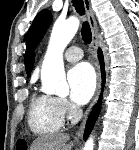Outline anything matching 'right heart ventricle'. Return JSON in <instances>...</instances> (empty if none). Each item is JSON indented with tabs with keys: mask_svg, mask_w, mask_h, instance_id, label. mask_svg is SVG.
<instances>
[{
	"mask_svg": "<svg viewBox=\"0 0 139 150\" xmlns=\"http://www.w3.org/2000/svg\"><path fill=\"white\" fill-rule=\"evenodd\" d=\"M64 122L57 98L40 92H34L28 111V124L36 134H49L58 131Z\"/></svg>",
	"mask_w": 139,
	"mask_h": 150,
	"instance_id": "e07e8e85",
	"label": "right heart ventricle"
}]
</instances>
